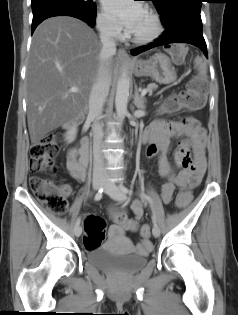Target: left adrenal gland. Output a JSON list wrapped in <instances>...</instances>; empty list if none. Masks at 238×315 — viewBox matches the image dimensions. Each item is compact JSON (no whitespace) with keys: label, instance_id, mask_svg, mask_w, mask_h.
I'll use <instances>...</instances> for the list:
<instances>
[{"label":"left adrenal gland","instance_id":"a2214340","mask_svg":"<svg viewBox=\"0 0 238 315\" xmlns=\"http://www.w3.org/2000/svg\"><path fill=\"white\" fill-rule=\"evenodd\" d=\"M146 99L139 94L137 86H135V94H134V105L138 109H145Z\"/></svg>","mask_w":238,"mask_h":315}]
</instances>
